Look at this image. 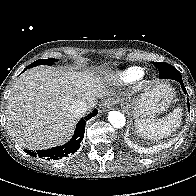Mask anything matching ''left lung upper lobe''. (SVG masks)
Segmentation results:
<instances>
[{"label": "left lung upper lobe", "instance_id": "left-lung-upper-lobe-1", "mask_svg": "<svg viewBox=\"0 0 196 196\" xmlns=\"http://www.w3.org/2000/svg\"><path fill=\"white\" fill-rule=\"evenodd\" d=\"M154 66L157 67L159 69V76H164L165 74L171 75V74H175L178 76H181L180 72L175 68V67H171L169 64L165 63V62H153ZM169 67L170 69H164L163 67Z\"/></svg>", "mask_w": 196, "mask_h": 196}]
</instances>
